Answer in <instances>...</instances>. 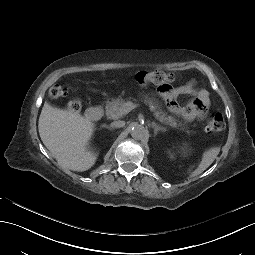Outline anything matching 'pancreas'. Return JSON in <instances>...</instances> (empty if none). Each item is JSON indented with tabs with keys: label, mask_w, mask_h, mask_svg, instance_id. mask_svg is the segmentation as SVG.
Instances as JSON below:
<instances>
[{
	"label": "pancreas",
	"mask_w": 255,
	"mask_h": 255,
	"mask_svg": "<svg viewBox=\"0 0 255 255\" xmlns=\"http://www.w3.org/2000/svg\"><path fill=\"white\" fill-rule=\"evenodd\" d=\"M145 104H148L150 107V110L154 113V116L157 120H159L161 123L165 125H169L171 127H177L178 124L175 120L174 117L166 115L161 109L157 108L152 101L150 100H144ZM125 104V101L121 98L118 99H111L108 100L105 111H106V116L109 119H119L126 115L123 112V105Z\"/></svg>",
	"instance_id": "pancreas-1"
}]
</instances>
